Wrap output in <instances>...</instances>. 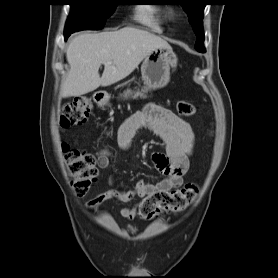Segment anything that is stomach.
Instances as JSON below:
<instances>
[{
	"mask_svg": "<svg viewBox=\"0 0 278 278\" xmlns=\"http://www.w3.org/2000/svg\"><path fill=\"white\" fill-rule=\"evenodd\" d=\"M178 58L172 48L153 49L141 65V74L147 89L165 87L170 81L171 70L177 67ZM125 99L130 97V91L123 94ZM109 97L102 104L107 105Z\"/></svg>",
	"mask_w": 278,
	"mask_h": 278,
	"instance_id": "obj_1",
	"label": "stomach"
}]
</instances>
